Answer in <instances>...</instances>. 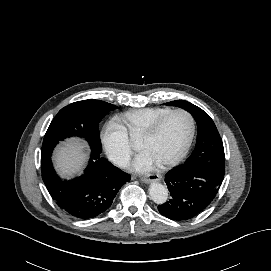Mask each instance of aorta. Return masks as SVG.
Segmentation results:
<instances>
[{"label":"aorta","instance_id":"obj_1","mask_svg":"<svg viewBox=\"0 0 271 271\" xmlns=\"http://www.w3.org/2000/svg\"><path fill=\"white\" fill-rule=\"evenodd\" d=\"M149 195L156 204H164L168 199V189L161 183L152 182L149 187Z\"/></svg>","mask_w":271,"mask_h":271}]
</instances>
